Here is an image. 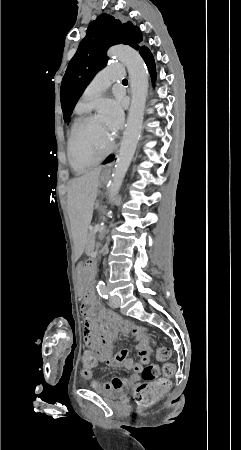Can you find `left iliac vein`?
<instances>
[{"instance_id":"1","label":"left iliac vein","mask_w":241,"mask_h":450,"mask_svg":"<svg viewBox=\"0 0 241 450\" xmlns=\"http://www.w3.org/2000/svg\"><path fill=\"white\" fill-rule=\"evenodd\" d=\"M109 303L114 308H119L120 306V298L117 296L110 297Z\"/></svg>"}]
</instances>
